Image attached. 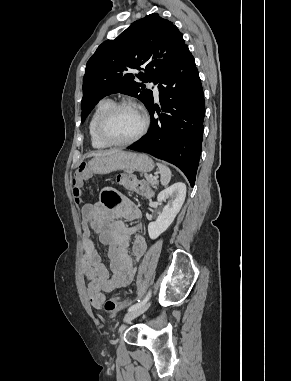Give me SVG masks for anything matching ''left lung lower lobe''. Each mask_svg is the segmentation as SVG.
I'll return each mask as SVG.
<instances>
[{
    "mask_svg": "<svg viewBox=\"0 0 291 381\" xmlns=\"http://www.w3.org/2000/svg\"><path fill=\"white\" fill-rule=\"evenodd\" d=\"M158 89L164 113H159L152 100L147 107L151 115L148 133L127 149L148 153L176 165L194 186L201 154L205 103L195 60L188 48L160 78Z\"/></svg>",
    "mask_w": 291,
    "mask_h": 381,
    "instance_id": "left-lung-lower-lobe-1",
    "label": "left lung lower lobe"
}]
</instances>
